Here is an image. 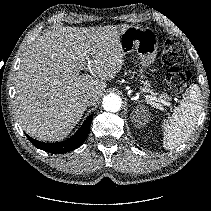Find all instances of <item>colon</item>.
<instances>
[{"instance_id":"1","label":"colon","mask_w":211,"mask_h":211,"mask_svg":"<svg viewBox=\"0 0 211 211\" xmlns=\"http://www.w3.org/2000/svg\"><path fill=\"white\" fill-rule=\"evenodd\" d=\"M161 59L167 67L165 78L170 89L175 93L182 92L190 80L189 71L180 67L186 60L182 45L173 39L166 40Z\"/></svg>"}]
</instances>
